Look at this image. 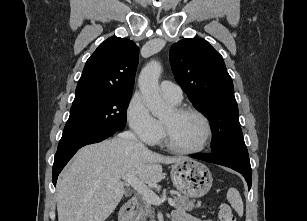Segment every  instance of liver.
Instances as JSON below:
<instances>
[{"label":"liver","instance_id":"6515ba94","mask_svg":"<svg viewBox=\"0 0 307 221\" xmlns=\"http://www.w3.org/2000/svg\"><path fill=\"white\" fill-rule=\"evenodd\" d=\"M184 160L119 136L84 146L58 178V221H105L125 192L122 177L132 174L143 183L156 184L163 175L160 163Z\"/></svg>","mask_w":307,"mask_h":221}]
</instances>
